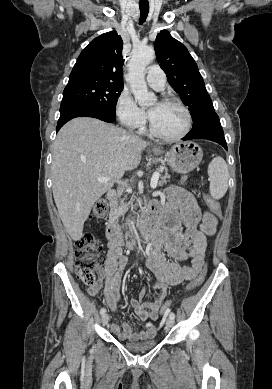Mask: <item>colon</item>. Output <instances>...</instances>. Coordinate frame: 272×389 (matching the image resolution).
Returning <instances> with one entry per match:
<instances>
[{
	"label": "colon",
	"mask_w": 272,
	"mask_h": 389,
	"mask_svg": "<svg viewBox=\"0 0 272 389\" xmlns=\"http://www.w3.org/2000/svg\"><path fill=\"white\" fill-rule=\"evenodd\" d=\"M206 200L215 216H219L221 212L219 204L209 196H206ZM107 207L106 200H98L92 209L91 216L95 219L103 218L107 212ZM103 262V246L94 235L85 233L76 241L75 270L78 278L84 284L93 286L96 283V272L101 268ZM204 279L205 270L189 283L186 289L187 292L194 291L200 287ZM171 308L172 302L166 301L161 307V312L166 314Z\"/></svg>",
	"instance_id": "5ec220e1"
}]
</instances>
